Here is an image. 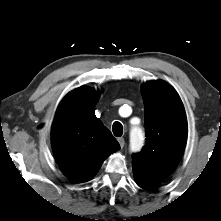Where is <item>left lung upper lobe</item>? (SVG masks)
Wrapping results in <instances>:
<instances>
[{
    "label": "left lung upper lobe",
    "mask_w": 221,
    "mask_h": 221,
    "mask_svg": "<svg viewBox=\"0 0 221 221\" xmlns=\"http://www.w3.org/2000/svg\"><path fill=\"white\" fill-rule=\"evenodd\" d=\"M145 108L146 142L132 156L133 168L158 182L177 167L187 141L185 110L177 92L164 81L142 86Z\"/></svg>",
    "instance_id": "5c2ea615"
}]
</instances>
